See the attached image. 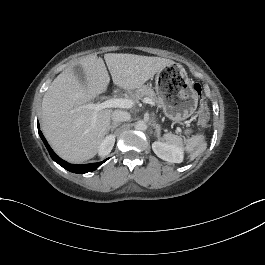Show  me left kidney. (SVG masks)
<instances>
[{"label":"left kidney","instance_id":"left-kidney-1","mask_svg":"<svg viewBox=\"0 0 265 265\" xmlns=\"http://www.w3.org/2000/svg\"><path fill=\"white\" fill-rule=\"evenodd\" d=\"M152 149L156 156L164 161L180 163L182 160L181 151L174 146L163 145L161 142H156L152 145Z\"/></svg>","mask_w":265,"mask_h":265}]
</instances>
